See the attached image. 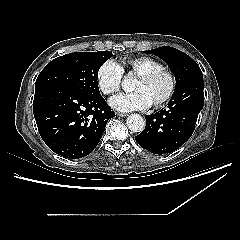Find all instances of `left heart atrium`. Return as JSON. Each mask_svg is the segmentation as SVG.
I'll list each match as a JSON object with an SVG mask.
<instances>
[{
  "label": "left heart atrium",
  "instance_id": "39dd6f15",
  "mask_svg": "<svg viewBox=\"0 0 240 240\" xmlns=\"http://www.w3.org/2000/svg\"><path fill=\"white\" fill-rule=\"evenodd\" d=\"M110 103L117 110L128 111L147 107L149 100L144 93L136 91L134 93L117 94L111 97Z\"/></svg>",
  "mask_w": 240,
  "mask_h": 240
}]
</instances>
